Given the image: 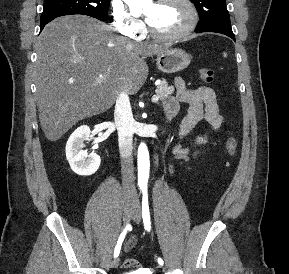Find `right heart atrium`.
<instances>
[{
  "instance_id": "1",
  "label": "right heart atrium",
  "mask_w": 289,
  "mask_h": 274,
  "mask_svg": "<svg viewBox=\"0 0 289 274\" xmlns=\"http://www.w3.org/2000/svg\"><path fill=\"white\" fill-rule=\"evenodd\" d=\"M111 12L116 29L125 36L133 39L139 38L143 31V23L133 17L125 8L122 0H113Z\"/></svg>"
}]
</instances>
